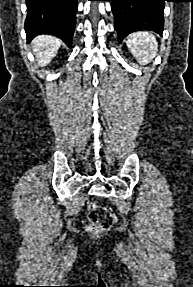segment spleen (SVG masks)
I'll return each instance as SVG.
<instances>
[{
	"instance_id": "1",
	"label": "spleen",
	"mask_w": 193,
	"mask_h": 287,
	"mask_svg": "<svg viewBox=\"0 0 193 287\" xmlns=\"http://www.w3.org/2000/svg\"><path fill=\"white\" fill-rule=\"evenodd\" d=\"M126 43L130 52L140 64L150 63L157 55V40L148 31L132 33L127 37Z\"/></svg>"
}]
</instances>
